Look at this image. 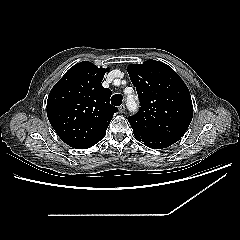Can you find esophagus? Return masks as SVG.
Wrapping results in <instances>:
<instances>
[{
    "mask_svg": "<svg viewBox=\"0 0 240 240\" xmlns=\"http://www.w3.org/2000/svg\"><path fill=\"white\" fill-rule=\"evenodd\" d=\"M124 111H125V105H121L119 107V113H124Z\"/></svg>",
    "mask_w": 240,
    "mask_h": 240,
    "instance_id": "1",
    "label": "esophagus"
}]
</instances>
